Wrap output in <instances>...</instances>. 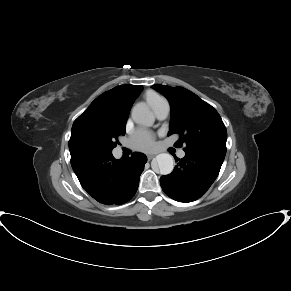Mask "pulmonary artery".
Returning <instances> with one entry per match:
<instances>
[{
    "label": "pulmonary artery",
    "mask_w": 291,
    "mask_h": 291,
    "mask_svg": "<svg viewBox=\"0 0 291 291\" xmlns=\"http://www.w3.org/2000/svg\"><path fill=\"white\" fill-rule=\"evenodd\" d=\"M154 112L156 114V117L160 120H164L167 118L169 114V105L165 99L161 100L157 106L154 109ZM120 153V150H118V154ZM185 155L183 150H180L178 152L179 157H183Z\"/></svg>",
    "instance_id": "e3ab8cb5"
}]
</instances>
